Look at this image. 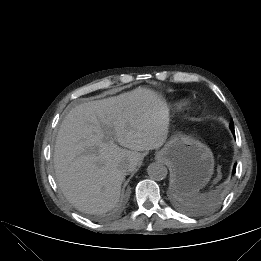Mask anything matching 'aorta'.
<instances>
[{
  "mask_svg": "<svg viewBox=\"0 0 261 261\" xmlns=\"http://www.w3.org/2000/svg\"><path fill=\"white\" fill-rule=\"evenodd\" d=\"M148 175L151 179L161 181L166 178L168 174L167 168L161 163H151L147 168Z\"/></svg>",
  "mask_w": 261,
  "mask_h": 261,
  "instance_id": "762f6f07",
  "label": "aorta"
}]
</instances>
